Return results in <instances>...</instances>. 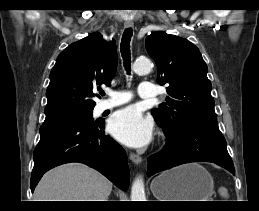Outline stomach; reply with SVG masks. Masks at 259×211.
Here are the masks:
<instances>
[{"label":"stomach","instance_id":"1","mask_svg":"<svg viewBox=\"0 0 259 211\" xmlns=\"http://www.w3.org/2000/svg\"><path fill=\"white\" fill-rule=\"evenodd\" d=\"M151 191L158 201H209L214 181L204 167L190 163L158 175L151 183Z\"/></svg>","mask_w":259,"mask_h":211}]
</instances>
